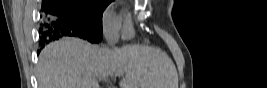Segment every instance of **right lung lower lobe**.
Segmentation results:
<instances>
[{
  "label": "right lung lower lobe",
  "instance_id": "right-lung-lower-lobe-1",
  "mask_svg": "<svg viewBox=\"0 0 267 88\" xmlns=\"http://www.w3.org/2000/svg\"><path fill=\"white\" fill-rule=\"evenodd\" d=\"M41 32V42L59 39L62 36H77L87 39L92 43L102 40L101 36L92 34L81 26H77L71 20L50 15L49 22L43 26Z\"/></svg>",
  "mask_w": 267,
  "mask_h": 88
}]
</instances>
